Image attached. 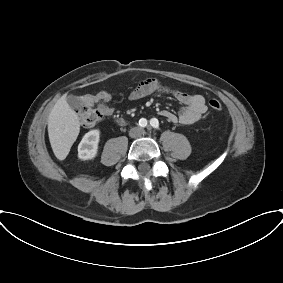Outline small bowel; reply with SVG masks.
<instances>
[{
    "label": "small bowel",
    "instance_id": "c3829d8e",
    "mask_svg": "<svg viewBox=\"0 0 283 283\" xmlns=\"http://www.w3.org/2000/svg\"><path fill=\"white\" fill-rule=\"evenodd\" d=\"M162 88L154 80H146L141 82L129 93V100L137 101L154 92H164ZM173 96L183 104L178 114L169 110H161L160 115L172 123H180L183 125H191L196 123L201 116L207 111L205 99L200 94H189L183 91H174ZM81 101L86 106L98 105L100 113L104 116L113 114L114 109L107 105L111 100V94L106 90H100L95 94H85L81 96Z\"/></svg>",
    "mask_w": 283,
    "mask_h": 283
}]
</instances>
